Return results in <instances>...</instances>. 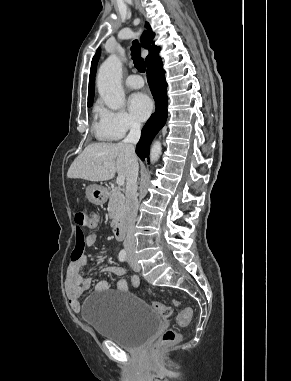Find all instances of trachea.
<instances>
[{
    "label": "trachea",
    "mask_w": 291,
    "mask_h": 381,
    "mask_svg": "<svg viewBox=\"0 0 291 381\" xmlns=\"http://www.w3.org/2000/svg\"><path fill=\"white\" fill-rule=\"evenodd\" d=\"M131 55H132L135 68L139 72L144 73L146 69L145 62L140 56V46L137 40L133 41V45L131 47Z\"/></svg>",
    "instance_id": "obj_1"
}]
</instances>
